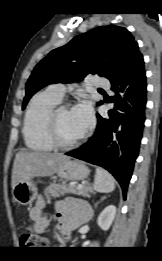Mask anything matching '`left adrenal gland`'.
<instances>
[{
  "label": "left adrenal gland",
  "instance_id": "obj_1",
  "mask_svg": "<svg viewBox=\"0 0 162 261\" xmlns=\"http://www.w3.org/2000/svg\"><path fill=\"white\" fill-rule=\"evenodd\" d=\"M106 198V196H103L98 202L95 203V207L97 206V204H99L101 201H103Z\"/></svg>",
  "mask_w": 162,
  "mask_h": 261
}]
</instances>
